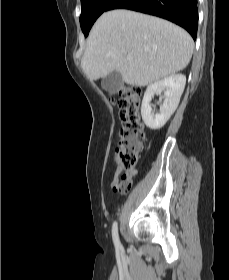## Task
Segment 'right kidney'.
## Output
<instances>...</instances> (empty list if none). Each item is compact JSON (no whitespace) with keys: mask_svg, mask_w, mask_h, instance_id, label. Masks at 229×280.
<instances>
[{"mask_svg":"<svg viewBox=\"0 0 229 280\" xmlns=\"http://www.w3.org/2000/svg\"><path fill=\"white\" fill-rule=\"evenodd\" d=\"M185 84V75L175 74L147 86L141 105L142 119L147 127L157 130L166 124L178 107ZM162 92H164V100L160 105V113L154 115L150 102L155 94Z\"/></svg>","mask_w":229,"mask_h":280,"instance_id":"obj_1","label":"right kidney"}]
</instances>
